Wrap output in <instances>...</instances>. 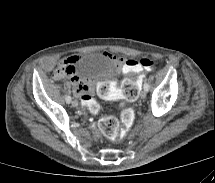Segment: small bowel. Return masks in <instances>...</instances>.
Wrapping results in <instances>:
<instances>
[{
	"label": "small bowel",
	"instance_id": "1",
	"mask_svg": "<svg viewBox=\"0 0 215 183\" xmlns=\"http://www.w3.org/2000/svg\"><path fill=\"white\" fill-rule=\"evenodd\" d=\"M109 56H111L112 58L115 59V61L122 65L124 67V69L126 68V65L128 63L129 60H127L125 57L122 56H113L112 54H109ZM79 55L73 54V55H69L66 58H64L61 62L60 65H64L66 67L69 68L70 70V74H68V76L71 77V84L73 87L74 92L80 96L88 93L90 94V90L93 89L94 86V92L97 96L103 98V99H117L119 98V94L115 91V87L112 83L106 81V80H99L95 83V85H93V83L85 78L79 77L76 75V70H75V64L77 62V60L79 59ZM144 69L140 66L136 67V74L138 76V81L141 84L143 78H144V73H143ZM55 76H57V70L55 72ZM63 77V76H62ZM60 78V77H58Z\"/></svg>",
	"mask_w": 215,
	"mask_h": 183
}]
</instances>
